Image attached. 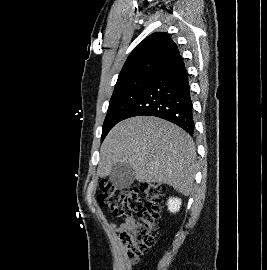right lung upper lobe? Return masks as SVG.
I'll use <instances>...</instances> for the list:
<instances>
[{"instance_id": "cb5924a9", "label": "right lung upper lobe", "mask_w": 267, "mask_h": 270, "mask_svg": "<svg viewBox=\"0 0 267 270\" xmlns=\"http://www.w3.org/2000/svg\"><path fill=\"white\" fill-rule=\"evenodd\" d=\"M179 55L167 33L156 32L140 42L128 56L116 85L146 74H156Z\"/></svg>"}]
</instances>
